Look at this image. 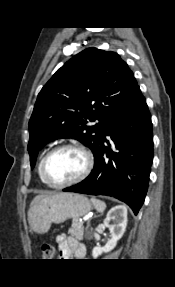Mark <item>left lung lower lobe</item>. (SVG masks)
Wrapping results in <instances>:
<instances>
[{"label": "left lung lower lobe", "instance_id": "0a47b994", "mask_svg": "<svg viewBox=\"0 0 175 287\" xmlns=\"http://www.w3.org/2000/svg\"><path fill=\"white\" fill-rule=\"evenodd\" d=\"M94 160L90 175L64 191L112 196L137 214L148 190L153 161L151 115L139 86L130 104L111 120Z\"/></svg>", "mask_w": 175, "mask_h": 287}]
</instances>
